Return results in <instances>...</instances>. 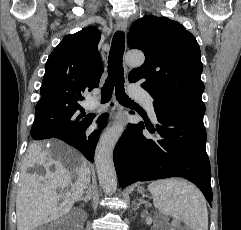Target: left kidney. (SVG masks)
Masks as SVG:
<instances>
[{
    "mask_svg": "<svg viewBox=\"0 0 241 230\" xmlns=\"http://www.w3.org/2000/svg\"><path fill=\"white\" fill-rule=\"evenodd\" d=\"M154 230H176V228L168 229L167 227H161L160 229L155 228Z\"/></svg>",
    "mask_w": 241,
    "mask_h": 230,
    "instance_id": "5707ae66",
    "label": "left kidney"
}]
</instances>
